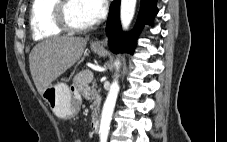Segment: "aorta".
<instances>
[{"mask_svg": "<svg viewBox=\"0 0 227 142\" xmlns=\"http://www.w3.org/2000/svg\"><path fill=\"white\" fill-rule=\"evenodd\" d=\"M137 0H121V9H120V18L121 24L124 30H126L135 13ZM119 61L115 63L117 69L119 67ZM119 92V85L118 81L115 79L111 86L105 103L103 105L102 114H101V121H100V128H99V135L100 141L106 142L110 130V123L112 120V114L115 108L117 96Z\"/></svg>", "mask_w": 227, "mask_h": 142, "instance_id": "762f6f07", "label": "aorta"}]
</instances>
